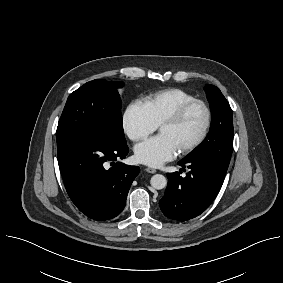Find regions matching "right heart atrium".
Returning a JSON list of instances; mask_svg holds the SVG:
<instances>
[{
  "instance_id": "1",
  "label": "right heart atrium",
  "mask_w": 283,
  "mask_h": 283,
  "mask_svg": "<svg viewBox=\"0 0 283 283\" xmlns=\"http://www.w3.org/2000/svg\"><path fill=\"white\" fill-rule=\"evenodd\" d=\"M122 127L129 139L139 141L154 132L157 125L149 115L144 103L140 100H133L123 113Z\"/></svg>"
}]
</instances>
